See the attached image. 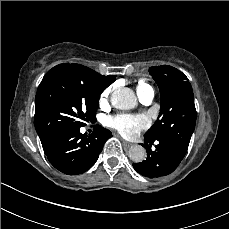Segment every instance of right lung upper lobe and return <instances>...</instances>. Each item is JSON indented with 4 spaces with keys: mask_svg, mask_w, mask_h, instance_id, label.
<instances>
[{
    "mask_svg": "<svg viewBox=\"0 0 229 229\" xmlns=\"http://www.w3.org/2000/svg\"><path fill=\"white\" fill-rule=\"evenodd\" d=\"M53 68L68 70L75 73L82 79V81L88 86V88L100 94L116 80L115 75L104 76L80 64L64 63L59 64Z\"/></svg>",
    "mask_w": 229,
    "mask_h": 229,
    "instance_id": "right-lung-upper-lobe-1",
    "label": "right lung upper lobe"
}]
</instances>
